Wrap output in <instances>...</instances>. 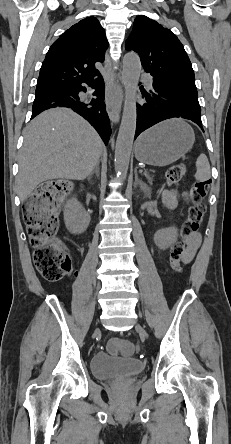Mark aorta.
Listing matches in <instances>:
<instances>
[{
  "label": "aorta",
  "instance_id": "1",
  "mask_svg": "<svg viewBox=\"0 0 231 444\" xmlns=\"http://www.w3.org/2000/svg\"><path fill=\"white\" fill-rule=\"evenodd\" d=\"M141 73L140 58L135 53H127L123 58V84L125 101L121 124L115 148V171L124 180L128 172L130 155L136 131V93Z\"/></svg>",
  "mask_w": 231,
  "mask_h": 444
}]
</instances>
